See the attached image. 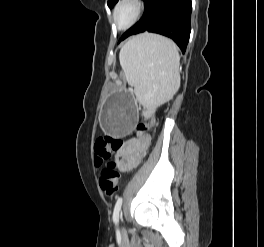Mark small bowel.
<instances>
[{"label":"small bowel","instance_id":"1","mask_svg":"<svg viewBox=\"0 0 264 247\" xmlns=\"http://www.w3.org/2000/svg\"><path fill=\"white\" fill-rule=\"evenodd\" d=\"M150 145V137L141 134L136 139L128 140L117 153L119 168L123 172H129L136 168L146 155Z\"/></svg>","mask_w":264,"mask_h":247}]
</instances>
